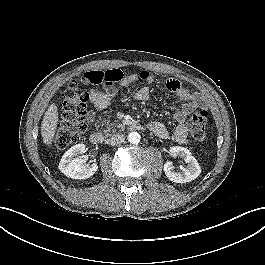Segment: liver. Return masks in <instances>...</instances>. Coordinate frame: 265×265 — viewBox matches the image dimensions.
Listing matches in <instances>:
<instances>
[{
  "instance_id": "obj_1",
  "label": "liver",
  "mask_w": 265,
  "mask_h": 265,
  "mask_svg": "<svg viewBox=\"0 0 265 265\" xmlns=\"http://www.w3.org/2000/svg\"><path fill=\"white\" fill-rule=\"evenodd\" d=\"M58 120H59V117H58L57 106L54 103H52L48 107L47 111L45 112V115L43 117V121L41 124V135L43 138V142L46 145H50L54 139Z\"/></svg>"
}]
</instances>
